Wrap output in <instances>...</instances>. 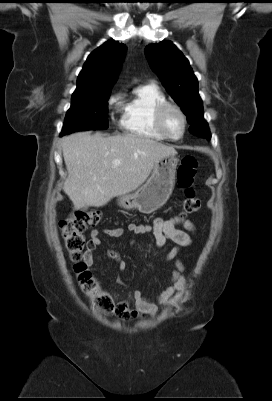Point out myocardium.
I'll return each mask as SVG.
<instances>
[{
	"mask_svg": "<svg viewBox=\"0 0 272 401\" xmlns=\"http://www.w3.org/2000/svg\"><path fill=\"white\" fill-rule=\"evenodd\" d=\"M170 110L176 111L182 119V132L178 137H173L172 135H170L165 125V117ZM155 123L158 130L162 133V135L166 139H169L171 141L181 140L184 137L187 130V116L185 112L179 105L168 101L158 107L155 114Z\"/></svg>",
	"mask_w": 272,
	"mask_h": 401,
	"instance_id": "f54148a6",
	"label": "myocardium"
}]
</instances>
